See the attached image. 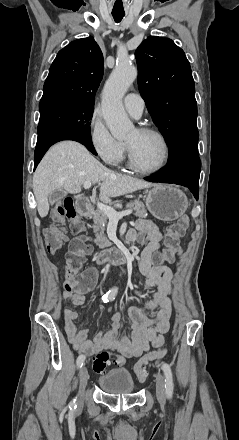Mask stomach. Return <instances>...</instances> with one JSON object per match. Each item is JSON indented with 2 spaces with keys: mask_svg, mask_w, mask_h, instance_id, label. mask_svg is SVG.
Returning <instances> with one entry per match:
<instances>
[{
  "mask_svg": "<svg viewBox=\"0 0 239 440\" xmlns=\"http://www.w3.org/2000/svg\"><path fill=\"white\" fill-rule=\"evenodd\" d=\"M145 204L154 218L172 222L185 214L189 202L187 196L176 186H154L148 192Z\"/></svg>",
  "mask_w": 239,
  "mask_h": 440,
  "instance_id": "stomach-1",
  "label": "stomach"
}]
</instances>
